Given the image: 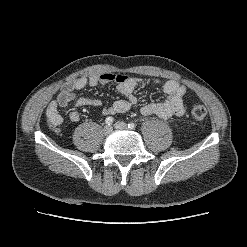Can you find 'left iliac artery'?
<instances>
[{
  "label": "left iliac artery",
  "mask_w": 247,
  "mask_h": 247,
  "mask_svg": "<svg viewBox=\"0 0 247 247\" xmlns=\"http://www.w3.org/2000/svg\"><path fill=\"white\" fill-rule=\"evenodd\" d=\"M136 127V125H135V123H133V122H130L129 124H128V128H130V129H134Z\"/></svg>",
  "instance_id": "1"
}]
</instances>
